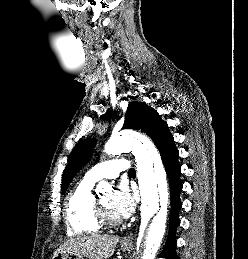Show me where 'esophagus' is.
Masks as SVG:
<instances>
[{"mask_svg": "<svg viewBox=\"0 0 248 259\" xmlns=\"http://www.w3.org/2000/svg\"><path fill=\"white\" fill-rule=\"evenodd\" d=\"M132 240H133V238H132V235L130 234V235L123 237L121 240V243L122 244H131Z\"/></svg>", "mask_w": 248, "mask_h": 259, "instance_id": "obj_1", "label": "esophagus"}]
</instances>
